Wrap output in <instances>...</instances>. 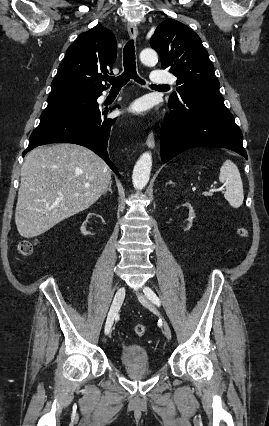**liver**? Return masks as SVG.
<instances>
[{"mask_svg":"<svg viewBox=\"0 0 269 426\" xmlns=\"http://www.w3.org/2000/svg\"><path fill=\"white\" fill-rule=\"evenodd\" d=\"M111 170L91 150L71 143L29 152L21 168L15 211L19 234L33 238L93 205L111 182Z\"/></svg>","mask_w":269,"mask_h":426,"instance_id":"1","label":"liver"}]
</instances>
